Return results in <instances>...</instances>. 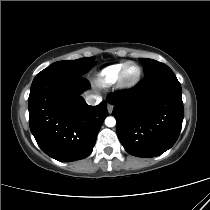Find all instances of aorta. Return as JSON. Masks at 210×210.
I'll return each instance as SVG.
<instances>
[{
    "label": "aorta",
    "mask_w": 210,
    "mask_h": 210,
    "mask_svg": "<svg viewBox=\"0 0 210 210\" xmlns=\"http://www.w3.org/2000/svg\"><path fill=\"white\" fill-rule=\"evenodd\" d=\"M105 124L107 127H114L116 125V120L114 117H107L105 119Z\"/></svg>",
    "instance_id": "762f6f07"
}]
</instances>
